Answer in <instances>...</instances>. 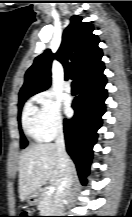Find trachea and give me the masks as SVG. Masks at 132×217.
<instances>
[{
	"label": "trachea",
	"mask_w": 132,
	"mask_h": 217,
	"mask_svg": "<svg viewBox=\"0 0 132 217\" xmlns=\"http://www.w3.org/2000/svg\"><path fill=\"white\" fill-rule=\"evenodd\" d=\"M72 88L73 89H77L78 88V85L75 81L72 82Z\"/></svg>",
	"instance_id": "trachea-1"
}]
</instances>
